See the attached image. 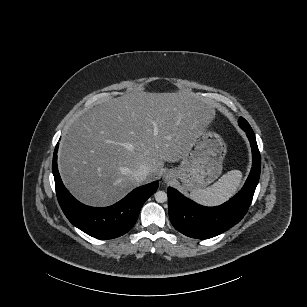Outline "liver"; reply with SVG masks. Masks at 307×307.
<instances>
[{
    "instance_id": "obj_1",
    "label": "liver",
    "mask_w": 307,
    "mask_h": 307,
    "mask_svg": "<svg viewBox=\"0 0 307 307\" xmlns=\"http://www.w3.org/2000/svg\"><path fill=\"white\" fill-rule=\"evenodd\" d=\"M215 114L209 98L184 92H131L78 116L62 138L58 167L71 195L84 205L108 207L138 183L133 173L150 168L158 179L164 161H178Z\"/></svg>"
}]
</instances>
